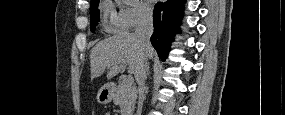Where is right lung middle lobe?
Returning a JSON list of instances; mask_svg holds the SVG:
<instances>
[{
	"label": "right lung middle lobe",
	"mask_w": 285,
	"mask_h": 115,
	"mask_svg": "<svg viewBox=\"0 0 285 115\" xmlns=\"http://www.w3.org/2000/svg\"><path fill=\"white\" fill-rule=\"evenodd\" d=\"M98 4H99V0H94L90 4V20H91V31L92 32L95 30L97 22L100 20Z\"/></svg>",
	"instance_id": "1"
}]
</instances>
